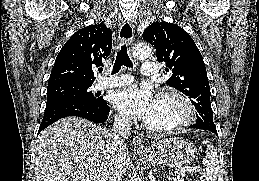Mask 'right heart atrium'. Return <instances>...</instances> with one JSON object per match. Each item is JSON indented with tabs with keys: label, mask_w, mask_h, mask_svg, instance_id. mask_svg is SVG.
<instances>
[{
	"label": "right heart atrium",
	"mask_w": 259,
	"mask_h": 181,
	"mask_svg": "<svg viewBox=\"0 0 259 181\" xmlns=\"http://www.w3.org/2000/svg\"><path fill=\"white\" fill-rule=\"evenodd\" d=\"M116 119L121 124H127L128 123V118L125 115H123V114H118L116 116Z\"/></svg>",
	"instance_id": "obj_1"
}]
</instances>
